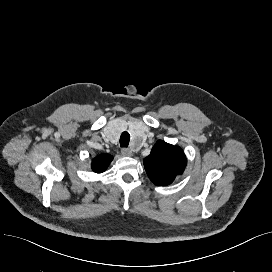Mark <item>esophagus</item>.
Returning a JSON list of instances; mask_svg holds the SVG:
<instances>
[{"label": "esophagus", "mask_w": 272, "mask_h": 272, "mask_svg": "<svg viewBox=\"0 0 272 272\" xmlns=\"http://www.w3.org/2000/svg\"><path fill=\"white\" fill-rule=\"evenodd\" d=\"M121 152L123 156H132V151L128 148H123Z\"/></svg>", "instance_id": "34e87169"}]
</instances>
